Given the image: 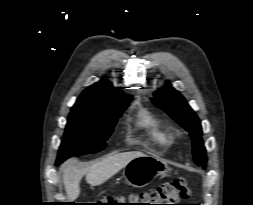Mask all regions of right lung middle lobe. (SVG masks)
Instances as JSON below:
<instances>
[{"label":"right lung middle lobe","instance_id":"right-lung-middle-lobe-1","mask_svg":"<svg viewBox=\"0 0 253 205\" xmlns=\"http://www.w3.org/2000/svg\"><path fill=\"white\" fill-rule=\"evenodd\" d=\"M131 99L117 102L101 114L74 111L69 114L56 164L71 156L95 153L106 147L105 141Z\"/></svg>","mask_w":253,"mask_h":205}]
</instances>
